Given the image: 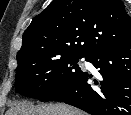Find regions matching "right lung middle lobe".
<instances>
[{
  "mask_svg": "<svg viewBox=\"0 0 131 115\" xmlns=\"http://www.w3.org/2000/svg\"><path fill=\"white\" fill-rule=\"evenodd\" d=\"M81 58L58 53L23 66L16 70L15 91L41 101L55 100L83 72L77 64Z\"/></svg>",
  "mask_w": 131,
  "mask_h": 115,
  "instance_id": "obj_1",
  "label": "right lung middle lobe"
}]
</instances>
